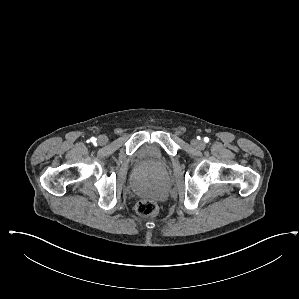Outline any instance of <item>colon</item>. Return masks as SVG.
Masks as SVG:
<instances>
[{"label": "colon", "instance_id": "obj_1", "mask_svg": "<svg viewBox=\"0 0 299 299\" xmlns=\"http://www.w3.org/2000/svg\"><path fill=\"white\" fill-rule=\"evenodd\" d=\"M136 211L143 217H150L156 215L158 212V205L155 201L144 199L138 202Z\"/></svg>", "mask_w": 299, "mask_h": 299}]
</instances>
